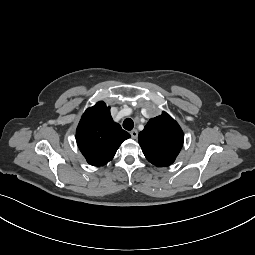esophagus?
Returning <instances> with one entry per match:
<instances>
[{
    "label": "esophagus",
    "mask_w": 255,
    "mask_h": 255,
    "mask_svg": "<svg viewBox=\"0 0 255 255\" xmlns=\"http://www.w3.org/2000/svg\"><path fill=\"white\" fill-rule=\"evenodd\" d=\"M130 134H131V137L133 138V139H136L137 137H138V131L137 130H132L131 132H130Z\"/></svg>",
    "instance_id": "obj_1"
}]
</instances>
